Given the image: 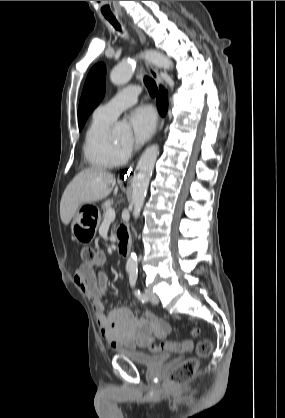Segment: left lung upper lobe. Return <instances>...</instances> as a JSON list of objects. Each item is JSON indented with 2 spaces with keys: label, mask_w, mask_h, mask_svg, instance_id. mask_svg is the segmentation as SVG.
<instances>
[{
  "label": "left lung upper lobe",
  "mask_w": 285,
  "mask_h": 418,
  "mask_svg": "<svg viewBox=\"0 0 285 418\" xmlns=\"http://www.w3.org/2000/svg\"><path fill=\"white\" fill-rule=\"evenodd\" d=\"M106 67L96 64L89 72L78 107L79 130H81L90 113L98 106L105 93Z\"/></svg>",
  "instance_id": "left-lung-upper-lobe-1"
}]
</instances>
